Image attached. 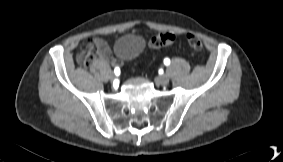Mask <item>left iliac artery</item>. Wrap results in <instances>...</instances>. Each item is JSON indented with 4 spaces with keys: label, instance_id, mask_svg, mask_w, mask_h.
Masks as SVG:
<instances>
[{
    "label": "left iliac artery",
    "instance_id": "1",
    "mask_svg": "<svg viewBox=\"0 0 283 162\" xmlns=\"http://www.w3.org/2000/svg\"><path fill=\"white\" fill-rule=\"evenodd\" d=\"M164 64L165 65H169L170 64V59L169 58H165L164 59Z\"/></svg>",
    "mask_w": 283,
    "mask_h": 162
}]
</instances>
